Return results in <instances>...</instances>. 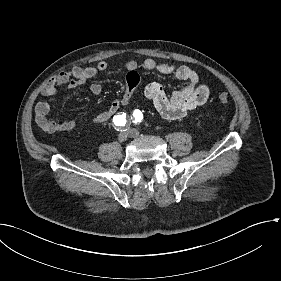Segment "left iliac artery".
Segmentation results:
<instances>
[{"instance_id": "left-iliac-artery-1", "label": "left iliac artery", "mask_w": 281, "mask_h": 281, "mask_svg": "<svg viewBox=\"0 0 281 281\" xmlns=\"http://www.w3.org/2000/svg\"><path fill=\"white\" fill-rule=\"evenodd\" d=\"M131 119H133V122L135 124L140 123L143 119V114L140 110L136 109L134 110Z\"/></svg>"}]
</instances>
